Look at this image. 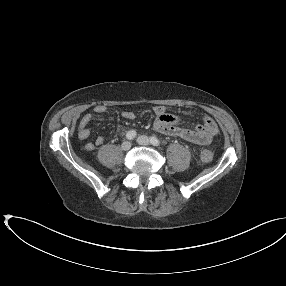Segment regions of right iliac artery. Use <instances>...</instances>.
Returning a JSON list of instances; mask_svg holds the SVG:
<instances>
[{
  "label": "right iliac artery",
  "mask_w": 286,
  "mask_h": 286,
  "mask_svg": "<svg viewBox=\"0 0 286 286\" xmlns=\"http://www.w3.org/2000/svg\"><path fill=\"white\" fill-rule=\"evenodd\" d=\"M136 131H134V130H130V131H128L127 132V134H126V138L128 139V140H132V139H134L135 137H136Z\"/></svg>",
  "instance_id": "1"
}]
</instances>
